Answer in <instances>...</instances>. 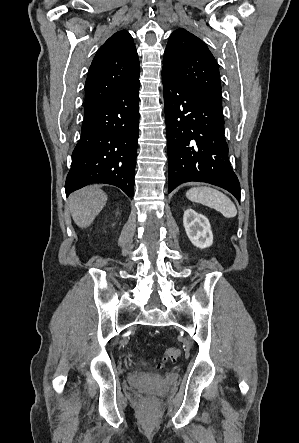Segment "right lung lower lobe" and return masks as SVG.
Here are the masks:
<instances>
[{
	"mask_svg": "<svg viewBox=\"0 0 299 443\" xmlns=\"http://www.w3.org/2000/svg\"><path fill=\"white\" fill-rule=\"evenodd\" d=\"M137 81L84 112L81 139L72 154L66 195L91 183H105L134 194L139 123Z\"/></svg>",
	"mask_w": 299,
	"mask_h": 443,
	"instance_id": "right-lung-lower-lobe-1",
	"label": "right lung lower lobe"
}]
</instances>
